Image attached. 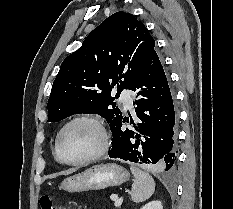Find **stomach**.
<instances>
[{"instance_id":"0dacf381","label":"stomach","mask_w":233,"mask_h":209,"mask_svg":"<svg viewBox=\"0 0 233 209\" xmlns=\"http://www.w3.org/2000/svg\"><path fill=\"white\" fill-rule=\"evenodd\" d=\"M128 177V172L117 164H97L81 173L65 178L61 183V188L68 192L100 190L110 186H119Z\"/></svg>"}]
</instances>
